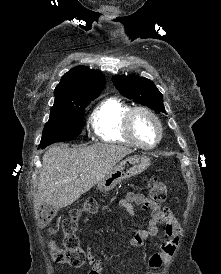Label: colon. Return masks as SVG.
Wrapping results in <instances>:
<instances>
[{
    "instance_id": "obj_1",
    "label": "colon",
    "mask_w": 221,
    "mask_h": 274,
    "mask_svg": "<svg viewBox=\"0 0 221 274\" xmlns=\"http://www.w3.org/2000/svg\"><path fill=\"white\" fill-rule=\"evenodd\" d=\"M146 185L152 201L160 203L166 199L167 187L157 176L148 177ZM98 206L99 203L96 199L89 198L81 208L71 210L62 221L63 248L53 242L50 243L51 254L57 262L78 268L88 260V253L80 246L76 235L78 220L83 212H95Z\"/></svg>"
}]
</instances>
